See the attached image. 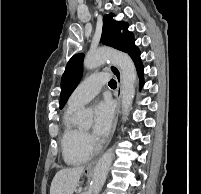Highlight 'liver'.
Returning <instances> with one entry per match:
<instances>
[{
	"mask_svg": "<svg viewBox=\"0 0 201 194\" xmlns=\"http://www.w3.org/2000/svg\"><path fill=\"white\" fill-rule=\"evenodd\" d=\"M84 169L78 166L59 170L52 180L50 194H73Z\"/></svg>",
	"mask_w": 201,
	"mask_h": 194,
	"instance_id": "6515ba94",
	"label": "liver"
}]
</instances>
